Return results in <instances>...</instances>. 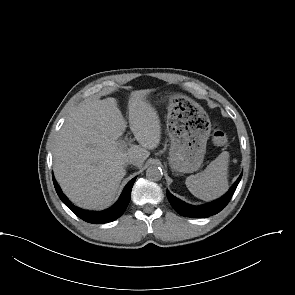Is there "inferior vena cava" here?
<instances>
[{
    "instance_id": "inferior-vena-cava-1",
    "label": "inferior vena cava",
    "mask_w": 295,
    "mask_h": 295,
    "mask_svg": "<svg viewBox=\"0 0 295 295\" xmlns=\"http://www.w3.org/2000/svg\"><path fill=\"white\" fill-rule=\"evenodd\" d=\"M126 162L129 163V164H133V165L137 166L141 162V160L137 155L129 154L127 156Z\"/></svg>"
}]
</instances>
